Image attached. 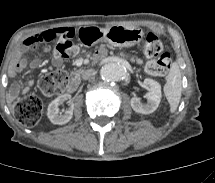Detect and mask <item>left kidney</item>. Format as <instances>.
<instances>
[{"mask_svg":"<svg viewBox=\"0 0 215 183\" xmlns=\"http://www.w3.org/2000/svg\"><path fill=\"white\" fill-rule=\"evenodd\" d=\"M144 84L150 87V91L146 94L147 103L143 104L138 97H133L130 101L132 109L141 114L153 113L161 101V85L150 78L144 79Z\"/></svg>","mask_w":215,"mask_h":183,"instance_id":"left-kidney-1","label":"left kidney"}]
</instances>
